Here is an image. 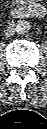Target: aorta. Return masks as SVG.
Masks as SVG:
<instances>
[{"label":"aorta","mask_w":47,"mask_h":129,"mask_svg":"<svg viewBox=\"0 0 47 129\" xmlns=\"http://www.w3.org/2000/svg\"><path fill=\"white\" fill-rule=\"evenodd\" d=\"M30 29L31 25L30 22L27 20H19L15 26V31L20 35L27 34L30 31Z\"/></svg>","instance_id":"762f6f07"}]
</instances>
